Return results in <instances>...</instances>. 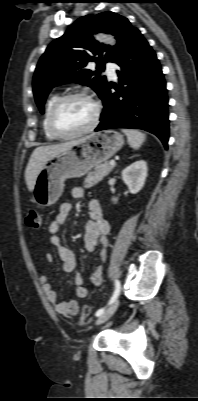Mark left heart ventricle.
<instances>
[{"instance_id":"left-heart-ventricle-1","label":"left heart ventricle","mask_w":198,"mask_h":401,"mask_svg":"<svg viewBox=\"0 0 198 401\" xmlns=\"http://www.w3.org/2000/svg\"><path fill=\"white\" fill-rule=\"evenodd\" d=\"M94 117V106L82 98L63 103L54 117V124L61 133H74L88 127Z\"/></svg>"}]
</instances>
